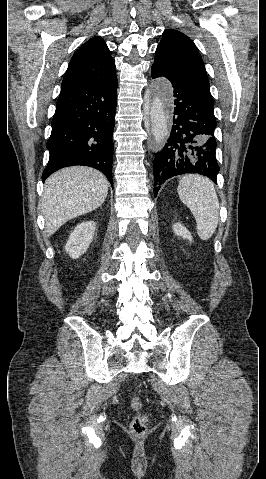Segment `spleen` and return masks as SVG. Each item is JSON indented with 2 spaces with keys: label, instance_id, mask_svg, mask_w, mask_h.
<instances>
[{
  "label": "spleen",
  "instance_id": "spleen-1",
  "mask_svg": "<svg viewBox=\"0 0 266 479\" xmlns=\"http://www.w3.org/2000/svg\"><path fill=\"white\" fill-rule=\"evenodd\" d=\"M178 194L196 220L200 239H210L219 220V201L212 181L196 174L186 175L179 181Z\"/></svg>",
  "mask_w": 266,
  "mask_h": 479
}]
</instances>
